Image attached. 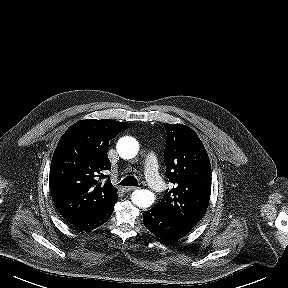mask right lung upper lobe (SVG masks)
I'll list each match as a JSON object with an SVG mask.
<instances>
[{"label": "right lung upper lobe", "instance_id": "obj_1", "mask_svg": "<svg viewBox=\"0 0 288 288\" xmlns=\"http://www.w3.org/2000/svg\"><path fill=\"white\" fill-rule=\"evenodd\" d=\"M130 126L114 120L87 119L73 124L61 137L50 167L52 200L68 221L95 214L118 198L108 179L109 141Z\"/></svg>", "mask_w": 288, "mask_h": 288}]
</instances>
